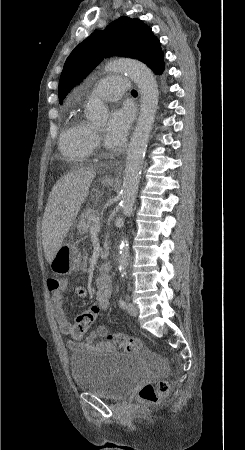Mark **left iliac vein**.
<instances>
[{"label":"left iliac vein","mask_w":245,"mask_h":450,"mask_svg":"<svg viewBox=\"0 0 245 450\" xmlns=\"http://www.w3.org/2000/svg\"><path fill=\"white\" fill-rule=\"evenodd\" d=\"M126 308H127L128 313L131 316L136 317L138 315V308L135 304L129 302V303H127Z\"/></svg>","instance_id":"left-iliac-vein-1"}]
</instances>
